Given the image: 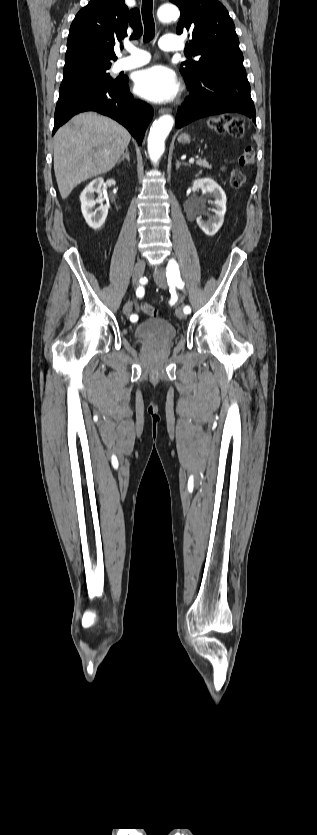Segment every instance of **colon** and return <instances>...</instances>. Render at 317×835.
Masks as SVG:
<instances>
[{
  "instance_id": "obj_1",
  "label": "colon",
  "mask_w": 317,
  "mask_h": 835,
  "mask_svg": "<svg viewBox=\"0 0 317 835\" xmlns=\"http://www.w3.org/2000/svg\"><path fill=\"white\" fill-rule=\"evenodd\" d=\"M208 126L217 134H228L234 138H241L244 135V121L238 117L226 115L211 118L208 120ZM254 160L255 150L252 147H245L239 156L237 167L230 174V185L233 188L242 186L245 180L243 168L252 166ZM141 310L150 317L157 316L156 308L148 303H143Z\"/></svg>"
}]
</instances>
